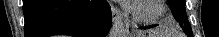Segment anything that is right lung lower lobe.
Listing matches in <instances>:
<instances>
[{"instance_id": "right-lung-lower-lobe-1", "label": "right lung lower lobe", "mask_w": 219, "mask_h": 37, "mask_svg": "<svg viewBox=\"0 0 219 37\" xmlns=\"http://www.w3.org/2000/svg\"><path fill=\"white\" fill-rule=\"evenodd\" d=\"M25 37H105L111 8L105 0H23Z\"/></svg>"}]
</instances>
